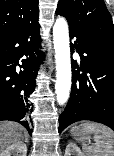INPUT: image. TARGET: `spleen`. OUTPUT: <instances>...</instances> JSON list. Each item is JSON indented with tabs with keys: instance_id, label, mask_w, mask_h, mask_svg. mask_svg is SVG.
I'll return each mask as SVG.
<instances>
[{
	"instance_id": "3e777b00",
	"label": "spleen",
	"mask_w": 114,
	"mask_h": 156,
	"mask_svg": "<svg viewBox=\"0 0 114 156\" xmlns=\"http://www.w3.org/2000/svg\"><path fill=\"white\" fill-rule=\"evenodd\" d=\"M83 134H93L94 145L88 146L83 142L85 156H114V132L105 125L85 121L80 125Z\"/></svg>"
}]
</instances>
